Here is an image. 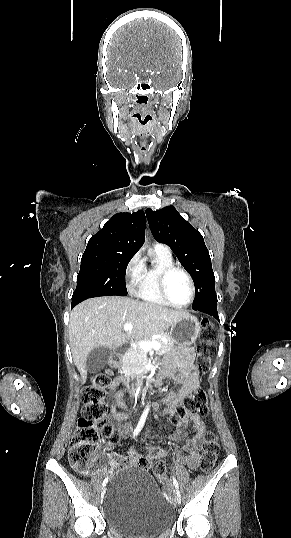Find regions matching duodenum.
Masks as SVG:
<instances>
[{"mask_svg": "<svg viewBox=\"0 0 291 538\" xmlns=\"http://www.w3.org/2000/svg\"><path fill=\"white\" fill-rule=\"evenodd\" d=\"M128 351V347H119L117 349L119 355H125ZM125 382H127L126 386L128 388L129 396L138 397L140 395V390L145 387L146 374H142L141 372L127 373Z\"/></svg>", "mask_w": 291, "mask_h": 538, "instance_id": "1", "label": "duodenum"}]
</instances>
